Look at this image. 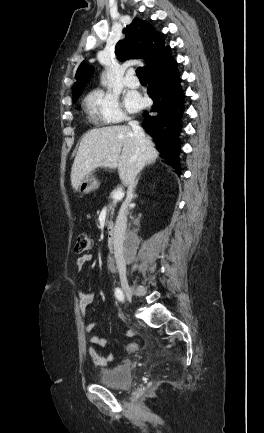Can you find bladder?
<instances>
[{
	"label": "bladder",
	"instance_id": "31cf9c89",
	"mask_svg": "<svg viewBox=\"0 0 264 433\" xmlns=\"http://www.w3.org/2000/svg\"><path fill=\"white\" fill-rule=\"evenodd\" d=\"M132 378L133 365L130 362L122 363L113 368L101 369L99 373L100 383L114 389H124L129 387Z\"/></svg>",
	"mask_w": 264,
	"mask_h": 433
}]
</instances>
